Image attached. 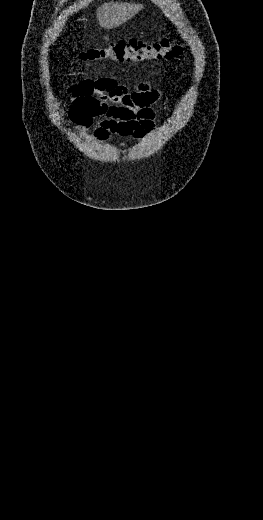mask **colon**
<instances>
[{
    "label": "colon",
    "mask_w": 263,
    "mask_h": 520,
    "mask_svg": "<svg viewBox=\"0 0 263 520\" xmlns=\"http://www.w3.org/2000/svg\"><path fill=\"white\" fill-rule=\"evenodd\" d=\"M182 47L171 38L147 43L140 39H120L109 44L85 50L79 58L83 61L113 60L117 62H144L171 59L181 55Z\"/></svg>",
    "instance_id": "obj_1"
}]
</instances>
